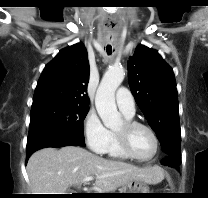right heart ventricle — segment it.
<instances>
[{
  "mask_svg": "<svg viewBox=\"0 0 208 198\" xmlns=\"http://www.w3.org/2000/svg\"><path fill=\"white\" fill-rule=\"evenodd\" d=\"M125 115V114H124ZM126 119H131L133 116L125 115ZM108 157L118 160H128L130 159L120 148L118 142L115 138L114 132H110V140L105 151Z\"/></svg>",
  "mask_w": 208,
  "mask_h": 198,
  "instance_id": "e07e8e85",
  "label": "right heart ventricle"
}]
</instances>
